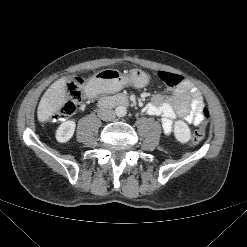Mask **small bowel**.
I'll return each instance as SVG.
<instances>
[{"mask_svg":"<svg viewBox=\"0 0 247 247\" xmlns=\"http://www.w3.org/2000/svg\"><path fill=\"white\" fill-rule=\"evenodd\" d=\"M88 96H92L91 91ZM204 109L202 94L190 82L185 81L166 101L161 95L154 96L152 102L145 107V112L160 116L163 131L169 136L174 121L178 118L198 126L203 121Z\"/></svg>","mask_w":247,"mask_h":247,"instance_id":"obj_1","label":"small bowel"}]
</instances>
